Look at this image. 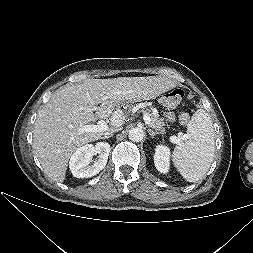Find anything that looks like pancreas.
<instances>
[{
	"label": "pancreas",
	"instance_id": "1",
	"mask_svg": "<svg viewBox=\"0 0 253 253\" xmlns=\"http://www.w3.org/2000/svg\"><path fill=\"white\" fill-rule=\"evenodd\" d=\"M148 115L151 119V128L155 129L158 134H165V123L161 118H159V115L157 113H150V111L148 112Z\"/></svg>",
	"mask_w": 253,
	"mask_h": 253
}]
</instances>
